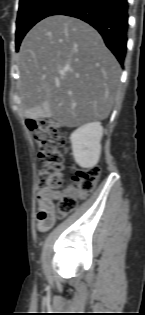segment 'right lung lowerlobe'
Instances as JSON below:
<instances>
[{
  "instance_id": "obj_1",
  "label": "right lung lower lobe",
  "mask_w": 145,
  "mask_h": 315,
  "mask_svg": "<svg viewBox=\"0 0 145 315\" xmlns=\"http://www.w3.org/2000/svg\"><path fill=\"white\" fill-rule=\"evenodd\" d=\"M52 15H66L79 18L102 35L106 46L120 64L126 56L128 30L127 0H66Z\"/></svg>"
}]
</instances>
